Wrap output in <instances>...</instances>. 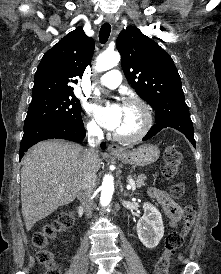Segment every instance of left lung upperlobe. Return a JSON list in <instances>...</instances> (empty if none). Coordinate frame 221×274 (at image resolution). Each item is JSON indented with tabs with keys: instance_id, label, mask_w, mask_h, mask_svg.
I'll list each match as a JSON object with an SVG mask.
<instances>
[{
	"instance_id": "obj_1",
	"label": "left lung upper lobe",
	"mask_w": 221,
	"mask_h": 274,
	"mask_svg": "<svg viewBox=\"0 0 221 274\" xmlns=\"http://www.w3.org/2000/svg\"><path fill=\"white\" fill-rule=\"evenodd\" d=\"M116 46L128 82L155 110V115L185 103L177 68L156 42L129 26L120 32Z\"/></svg>"
}]
</instances>
